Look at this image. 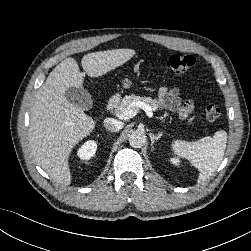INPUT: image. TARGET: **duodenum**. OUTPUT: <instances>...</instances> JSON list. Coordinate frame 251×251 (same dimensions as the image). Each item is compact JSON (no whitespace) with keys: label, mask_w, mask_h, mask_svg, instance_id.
I'll return each mask as SVG.
<instances>
[{"label":"duodenum","mask_w":251,"mask_h":251,"mask_svg":"<svg viewBox=\"0 0 251 251\" xmlns=\"http://www.w3.org/2000/svg\"><path fill=\"white\" fill-rule=\"evenodd\" d=\"M118 104V98L112 97L106 104V110H113Z\"/></svg>","instance_id":"410a0bca"}]
</instances>
